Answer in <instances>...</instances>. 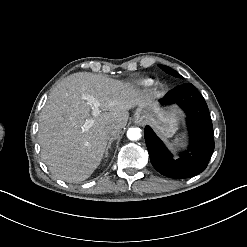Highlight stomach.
<instances>
[{
  "label": "stomach",
  "instance_id": "stomach-1",
  "mask_svg": "<svg viewBox=\"0 0 247 247\" xmlns=\"http://www.w3.org/2000/svg\"><path fill=\"white\" fill-rule=\"evenodd\" d=\"M160 97V94H156L138 104L135 121L149 123L162 136H169L179 129L183 119V109L176 103H162Z\"/></svg>",
  "mask_w": 247,
  "mask_h": 247
}]
</instances>
